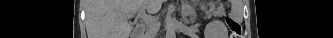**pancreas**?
<instances>
[{"label":"pancreas","mask_w":333,"mask_h":38,"mask_svg":"<svg viewBox=\"0 0 333 38\" xmlns=\"http://www.w3.org/2000/svg\"><path fill=\"white\" fill-rule=\"evenodd\" d=\"M157 24L155 23L154 25H149V27L147 28V30H146V35H150V36H152L155 32H156V30H157Z\"/></svg>","instance_id":"1"}]
</instances>
